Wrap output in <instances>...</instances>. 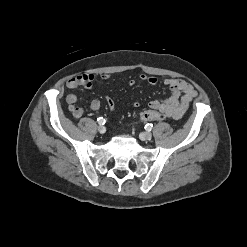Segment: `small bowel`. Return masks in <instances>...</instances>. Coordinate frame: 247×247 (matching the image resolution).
Here are the masks:
<instances>
[{
    "label": "small bowel",
    "instance_id": "1",
    "mask_svg": "<svg viewBox=\"0 0 247 247\" xmlns=\"http://www.w3.org/2000/svg\"><path fill=\"white\" fill-rule=\"evenodd\" d=\"M101 78L106 80L110 78V75L104 74ZM139 79L150 85H156L158 83V79L156 77L146 74H141ZM95 80L96 77L93 74H80L68 79L66 86L71 90L78 87L90 89L92 88ZM163 83L165 86L170 88L172 92L171 96L166 100H153L150 102L149 106L151 109L157 110L164 114L165 117L180 119L187 111L192 99L196 96V91L189 82L183 79L166 78ZM128 84L130 86H134L136 84V80L131 79ZM77 99V94L75 92H69L66 95L68 110L75 119H80L84 114V110L76 105ZM106 101L109 109L113 112L116 111L117 107L115 102L110 97H107ZM100 106V101L95 98L91 100L89 109L92 111H97ZM133 106L139 107L140 103L134 102Z\"/></svg>",
    "mask_w": 247,
    "mask_h": 247
}]
</instances>
